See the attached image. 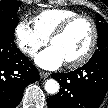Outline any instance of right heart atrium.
Masks as SVG:
<instances>
[{
  "label": "right heart atrium",
  "mask_w": 108,
  "mask_h": 108,
  "mask_svg": "<svg viewBox=\"0 0 108 108\" xmlns=\"http://www.w3.org/2000/svg\"><path fill=\"white\" fill-rule=\"evenodd\" d=\"M14 35L16 44L28 56H34L48 42V39L42 36L26 20L17 23Z\"/></svg>",
  "instance_id": "obj_1"
}]
</instances>
